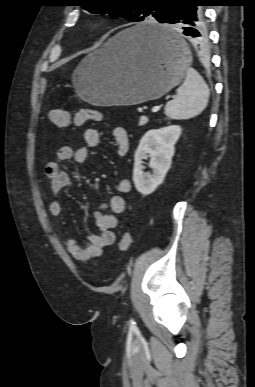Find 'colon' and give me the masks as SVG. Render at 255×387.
Instances as JSON below:
<instances>
[{
  "instance_id": "1",
  "label": "colon",
  "mask_w": 255,
  "mask_h": 387,
  "mask_svg": "<svg viewBox=\"0 0 255 387\" xmlns=\"http://www.w3.org/2000/svg\"><path fill=\"white\" fill-rule=\"evenodd\" d=\"M50 121L59 128H67L72 125H81L87 121L100 122L103 120L101 112L95 109H81L74 115L62 107H56L49 113ZM134 239L131 233L125 232L119 242L122 252L128 251L133 245Z\"/></svg>"
}]
</instances>
